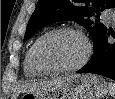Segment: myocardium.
Here are the masks:
<instances>
[{"label": "myocardium", "instance_id": "f54148a6", "mask_svg": "<svg viewBox=\"0 0 115 99\" xmlns=\"http://www.w3.org/2000/svg\"><path fill=\"white\" fill-rule=\"evenodd\" d=\"M60 33H71L81 38V40L83 41L85 45L84 54L82 58L76 64L71 65V66L58 67V68L46 66L40 57V51H39L40 46L42 42L46 40L47 38L56 34H60ZM91 54H92V45L88 37L81 30H78L72 27H59V28L52 29L44 33L42 36H40L33 45L34 63L36 67L44 74H61V73H67V72H73V71L79 70L89 61Z\"/></svg>", "mask_w": 115, "mask_h": 99}]
</instances>
